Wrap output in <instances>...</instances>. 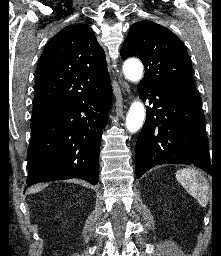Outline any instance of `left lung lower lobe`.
<instances>
[{
  "label": "left lung lower lobe",
  "instance_id": "left-lung-lower-lobe-1",
  "mask_svg": "<svg viewBox=\"0 0 221 256\" xmlns=\"http://www.w3.org/2000/svg\"><path fill=\"white\" fill-rule=\"evenodd\" d=\"M152 108L136 142V176L160 164L195 165L211 172L205 117L197 93L139 84Z\"/></svg>",
  "mask_w": 221,
  "mask_h": 256
}]
</instances>
